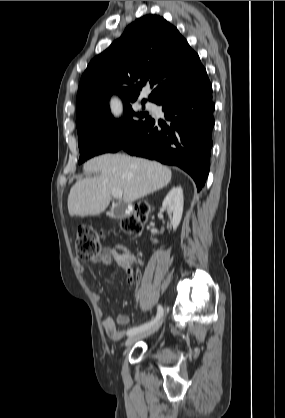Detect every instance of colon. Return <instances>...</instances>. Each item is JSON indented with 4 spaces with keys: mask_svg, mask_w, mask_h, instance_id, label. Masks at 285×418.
<instances>
[{
    "mask_svg": "<svg viewBox=\"0 0 285 418\" xmlns=\"http://www.w3.org/2000/svg\"><path fill=\"white\" fill-rule=\"evenodd\" d=\"M149 214L147 203L136 205L133 215L121 219V228L126 234H136L142 230V223L146 221ZM101 234L91 226H82L75 236L76 258L80 262H89L99 250ZM128 263L139 267L136 260L128 259Z\"/></svg>",
    "mask_w": 285,
    "mask_h": 418,
    "instance_id": "1",
    "label": "colon"
}]
</instances>
